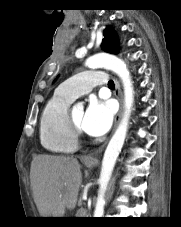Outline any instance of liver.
<instances>
[{"mask_svg": "<svg viewBox=\"0 0 181 227\" xmlns=\"http://www.w3.org/2000/svg\"><path fill=\"white\" fill-rule=\"evenodd\" d=\"M30 181L40 215L64 217L76 206L82 173L76 158L38 155L31 163Z\"/></svg>", "mask_w": 181, "mask_h": 227, "instance_id": "obj_1", "label": "liver"}]
</instances>
